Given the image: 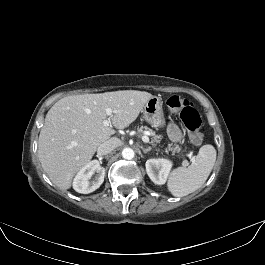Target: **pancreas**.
<instances>
[{"label":"pancreas","instance_id":"cf45deb5","mask_svg":"<svg viewBox=\"0 0 265 265\" xmlns=\"http://www.w3.org/2000/svg\"><path fill=\"white\" fill-rule=\"evenodd\" d=\"M138 130L139 131H143V130L148 131L149 134L152 136V142L153 143H159L161 140V136L156 135L152 129H149L147 127H140ZM180 150H181L180 146L175 145V146H169L168 149L166 150V152L171 151L172 153H176V152L178 153V152H180Z\"/></svg>","mask_w":265,"mask_h":265}]
</instances>
